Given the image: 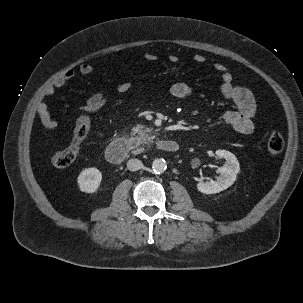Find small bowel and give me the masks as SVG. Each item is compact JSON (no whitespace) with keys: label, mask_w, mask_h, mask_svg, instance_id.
Returning <instances> with one entry per match:
<instances>
[{"label":"small bowel","mask_w":303,"mask_h":303,"mask_svg":"<svg viewBox=\"0 0 303 303\" xmlns=\"http://www.w3.org/2000/svg\"><path fill=\"white\" fill-rule=\"evenodd\" d=\"M168 59L173 64H178L180 61L175 54H171ZM143 60L154 62L157 60V56L153 53H147L143 55ZM193 60L197 64H203L206 62V57L202 54H196ZM212 68L221 74L220 92L222 96L235 106L234 110L226 111L223 114L222 120L224 124L238 134H251L254 130L253 118L257 111V103L253 93L246 87L236 85L233 74L227 70L223 63L216 62L212 65ZM79 71L83 75H89L95 71V67L89 63H83L80 65ZM74 76V70H67L45 90V95H53L56 89L63 87ZM131 87L132 83L130 81H124L118 84L115 90L117 93L122 94L128 92ZM170 92L177 99H188L193 95L192 87L186 82L175 83L172 85ZM103 95H105L103 91H98L92 97ZM36 113L46 128L52 129L57 126V121L52 117L45 103L41 102L37 105Z\"/></svg>","instance_id":"obj_1"}]
</instances>
